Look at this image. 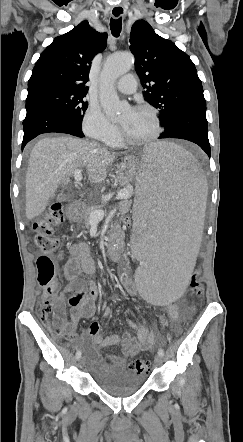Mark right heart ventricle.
Returning <instances> with one entry per match:
<instances>
[{
  "mask_svg": "<svg viewBox=\"0 0 243 442\" xmlns=\"http://www.w3.org/2000/svg\"><path fill=\"white\" fill-rule=\"evenodd\" d=\"M110 143L113 144V145H119L120 144V140L116 138L115 140H113Z\"/></svg>",
  "mask_w": 243,
  "mask_h": 442,
  "instance_id": "right-heart-ventricle-1",
  "label": "right heart ventricle"
}]
</instances>
